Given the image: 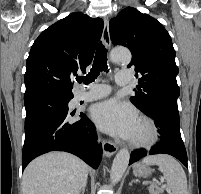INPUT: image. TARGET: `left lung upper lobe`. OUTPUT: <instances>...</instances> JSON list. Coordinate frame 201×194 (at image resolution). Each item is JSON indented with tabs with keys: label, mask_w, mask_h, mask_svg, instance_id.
I'll list each match as a JSON object with an SVG mask.
<instances>
[{
	"label": "left lung upper lobe",
	"mask_w": 201,
	"mask_h": 194,
	"mask_svg": "<svg viewBox=\"0 0 201 194\" xmlns=\"http://www.w3.org/2000/svg\"><path fill=\"white\" fill-rule=\"evenodd\" d=\"M114 45L127 47L132 53L131 66L140 77L131 102L149 113L155 105L177 106L180 89L176 76L175 50L166 29L155 18L127 7L110 21Z\"/></svg>",
	"instance_id": "5c2ea615"
}]
</instances>
